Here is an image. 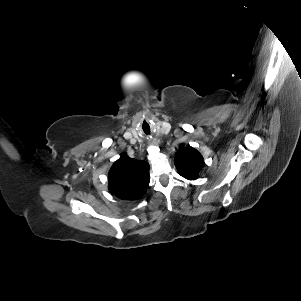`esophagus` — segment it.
Returning a JSON list of instances; mask_svg holds the SVG:
<instances>
[{
  "mask_svg": "<svg viewBox=\"0 0 301 301\" xmlns=\"http://www.w3.org/2000/svg\"><path fill=\"white\" fill-rule=\"evenodd\" d=\"M148 145L156 146V145H157L156 139H153V138L149 139V140H148Z\"/></svg>",
  "mask_w": 301,
  "mask_h": 301,
  "instance_id": "esophagus-1",
  "label": "esophagus"
}]
</instances>
